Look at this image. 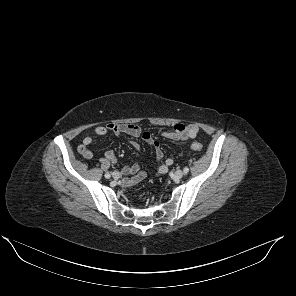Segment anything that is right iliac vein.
I'll list each match as a JSON object with an SVG mask.
<instances>
[{
  "mask_svg": "<svg viewBox=\"0 0 296 296\" xmlns=\"http://www.w3.org/2000/svg\"><path fill=\"white\" fill-rule=\"evenodd\" d=\"M119 177H120L119 172H114V173H113V178H114V179H118Z\"/></svg>",
  "mask_w": 296,
  "mask_h": 296,
  "instance_id": "obj_1",
  "label": "right iliac vein"
}]
</instances>
